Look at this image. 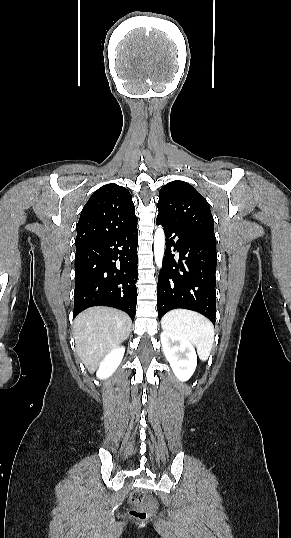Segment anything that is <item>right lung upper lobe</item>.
Returning a JSON list of instances; mask_svg holds the SVG:
<instances>
[{"instance_id":"obj_1","label":"right lung upper lobe","mask_w":291,"mask_h":538,"mask_svg":"<svg viewBox=\"0 0 291 538\" xmlns=\"http://www.w3.org/2000/svg\"><path fill=\"white\" fill-rule=\"evenodd\" d=\"M137 225L129 191L115 183L96 190L85 204L77 224L76 247L95 243Z\"/></svg>"}]
</instances>
